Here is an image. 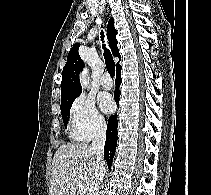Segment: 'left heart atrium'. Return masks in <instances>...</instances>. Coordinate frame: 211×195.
<instances>
[{"mask_svg": "<svg viewBox=\"0 0 211 195\" xmlns=\"http://www.w3.org/2000/svg\"><path fill=\"white\" fill-rule=\"evenodd\" d=\"M99 103L103 111L106 113H111L115 109V103L109 95H102L99 99Z\"/></svg>", "mask_w": 211, "mask_h": 195, "instance_id": "obj_1", "label": "left heart atrium"}]
</instances>
